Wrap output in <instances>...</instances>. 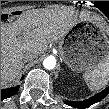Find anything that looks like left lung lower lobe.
<instances>
[{
	"label": "left lung lower lobe",
	"instance_id": "left-lung-lower-lobe-1",
	"mask_svg": "<svg viewBox=\"0 0 109 109\" xmlns=\"http://www.w3.org/2000/svg\"><path fill=\"white\" fill-rule=\"evenodd\" d=\"M108 93H109V87H107L102 92L96 94L95 96H93L87 100H84L82 102L66 101V104H68L69 106L77 107V108H86V107H89V106L101 101L104 97H106L108 95Z\"/></svg>",
	"mask_w": 109,
	"mask_h": 109
}]
</instances>
